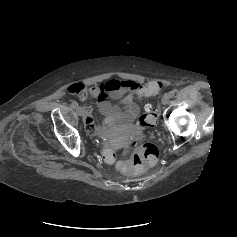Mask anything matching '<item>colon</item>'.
<instances>
[{
	"label": "colon",
	"mask_w": 237,
	"mask_h": 237,
	"mask_svg": "<svg viewBox=\"0 0 237 237\" xmlns=\"http://www.w3.org/2000/svg\"><path fill=\"white\" fill-rule=\"evenodd\" d=\"M163 83L158 80L149 82L145 87L148 96H157L161 90ZM158 110L150 105H146L145 112L140 116L139 123L145 127H152L156 124ZM104 159L113 163L116 155L112 149H105L103 152ZM159 157L158 148L152 143H136L135 153L130 161H119L117 168L124 174L135 175L143 172L148 167L153 166Z\"/></svg>",
	"instance_id": "5ec220e1"
}]
</instances>
